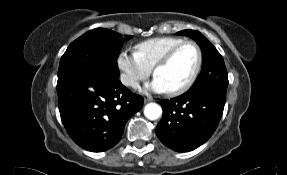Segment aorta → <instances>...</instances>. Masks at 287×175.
<instances>
[{
	"instance_id": "762f6f07",
	"label": "aorta",
	"mask_w": 287,
	"mask_h": 175,
	"mask_svg": "<svg viewBox=\"0 0 287 175\" xmlns=\"http://www.w3.org/2000/svg\"><path fill=\"white\" fill-rule=\"evenodd\" d=\"M144 115L149 120H157L162 115V108L157 103H148L144 107Z\"/></svg>"
}]
</instances>
